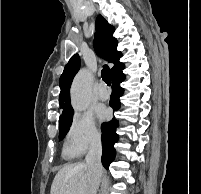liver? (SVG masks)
Listing matches in <instances>:
<instances>
[{
  "instance_id": "liver-1",
  "label": "liver",
  "mask_w": 201,
  "mask_h": 194,
  "mask_svg": "<svg viewBox=\"0 0 201 194\" xmlns=\"http://www.w3.org/2000/svg\"><path fill=\"white\" fill-rule=\"evenodd\" d=\"M89 172L85 163L64 165L54 177L50 194H87Z\"/></svg>"
}]
</instances>
